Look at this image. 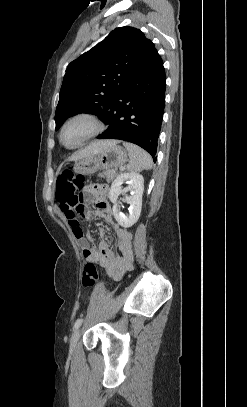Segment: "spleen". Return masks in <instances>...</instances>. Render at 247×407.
<instances>
[{
    "label": "spleen",
    "instance_id": "3e777b00",
    "mask_svg": "<svg viewBox=\"0 0 247 407\" xmlns=\"http://www.w3.org/2000/svg\"><path fill=\"white\" fill-rule=\"evenodd\" d=\"M128 150L130 161L127 170L131 172H140L152 168L151 156L142 148L129 142H123Z\"/></svg>",
    "mask_w": 247,
    "mask_h": 407
}]
</instances>
